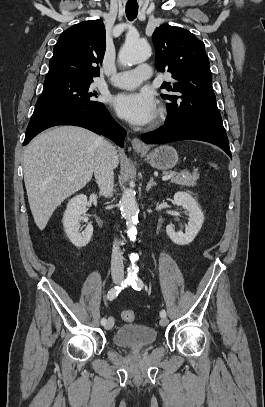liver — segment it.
<instances>
[{
	"label": "liver",
	"instance_id": "1",
	"mask_svg": "<svg viewBox=\"0 0 265 407\" xmlns=\"http://www.w3.org/2000/svg\"><path fill=\"white\" fill-rule=\"evenodd\" d=\"M100 138L81 127L60 126L41 133L25 148L24 182L40 230L66 198L90 182ZM118 163L116 151L114 168Z\"/></svg>",
	"mask_w": 265,
	"mask_h": 407
}]
</instances>
